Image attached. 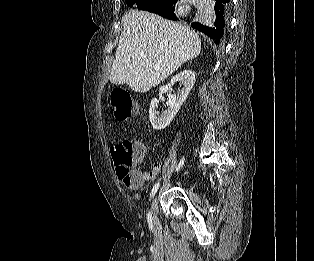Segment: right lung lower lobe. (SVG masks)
I'll return each mask as SVG.
<instances>
[{"label":"right lung lower lobe","mask_w":314,"mask_h":261,"mask_svg":"<svg viewBox=\"0 0 314 261\" xmlns=\"http://www.w3.org/2000/svg\"><path fill=\"white\" fill-rule=\"evenodd\" d=\"M229 1L230 0H214L216 19L213 27H208L199 22H193L191 24L193 28L210 37L217 46L221 45L226 29L229 14ZM182 7L181 0H163L157 5L148 8L147 11L159 14L170 20H177L178 18H182Z\"/></svg>","instance_id":"obj_1"}]
</instances>
